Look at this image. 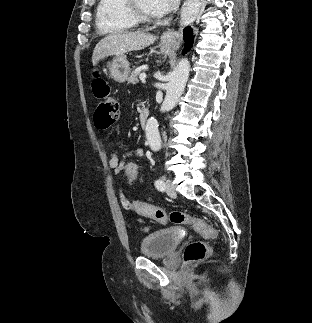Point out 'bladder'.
Wrapping results in <instances>:
<instances>
[{
    "label": "bladder",
    "mask_w": 312,
    "mask_h": 323,
    "mask_svg": "<svg viewBox=\"0 0 312 323\" xmlns=\"http://www.w3.org/2000/svg\"><path fill=\"white\" fill-rule=\"evenodd\" d=\"M180 243L178 230L168 228L150 233L140 245V253L145 257L163 258L175 251Z\"/></svg>",
    "instance_id": "31cf9c89"
}]
</instances>
